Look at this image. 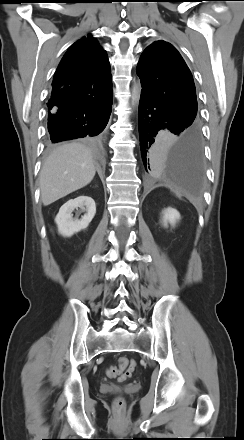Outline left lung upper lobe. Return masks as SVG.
Returning a JSON list of instances; mask_svg holds the SVG:
<instances>
[{"instance_id":"5c2ea615","label":"left lung upper lobe","mask_w":244,"mask_h":440,"mask_svg":"<svg viewBox=\"0 0 244 440\" xmlns=\"http://www.w3.org/2000/svg\"><path fill=\"white\" fill-rule=\"evenodd\" d=\"M136 72L141 93L165 105L182 123L200 130L192 74L170 43L159 40L149 45L140 57Z\"/></svg>"}]
</instances>
